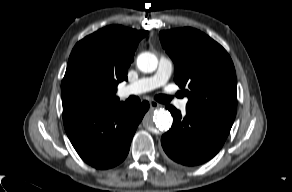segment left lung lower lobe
I'll use <instances>...</instances> for the list:
<instances>
[{"mask_svg":"<svg viewBox=\"0 0 292 192\" xmlns=\"http://www.w3.org/2000/svg\"><path fill=\"white\" fill-rule=\"evenodd\" d=\"M166 108L173 116V125L161 138L170 159L180 165L195 166L213 158L224 144L234 120L186 111L172 105Z\"/></svg>","mask_w":292,"mask_h":192,"instance_id":"left-lung-lower-lobe-1","label":"left lung lower lobe"}]
</instances>
